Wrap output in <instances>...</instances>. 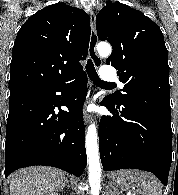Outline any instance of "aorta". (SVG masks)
I'll list each match as a JSON object with an SVG mask.
<instances>
[{
    "mask_svg": "<svg viewBox=\"0 0 178 195\" xmlns=\"http://www.w3.org/2000/svg\"><path fill=\"white\" fill-rule=\"evenodd\" d=\"M97 51L100 56H109L111 54V46L106 42H100L97 45ZM87 159L89 165V183L91 195H99L101 188V164L99 159L98 135L95 124H91L86 132L85 137Z\"/></svg>",
    "mask_w": 178,
    "mask_h": 195,
    "instance_id": "1",
    "label": "aorta"
}]
</instances>
